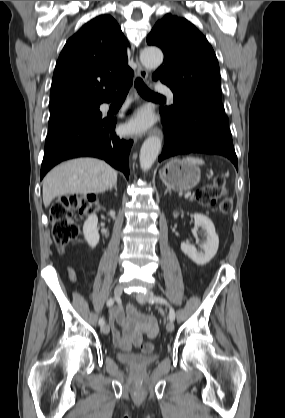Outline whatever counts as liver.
I'll return each mask as SVG.
<instances>
[{
	"mask_svg": "<svg viewBox=\"0 0 285 418\" xmlns=\"http://www.w3.org/2000/svg\"><path fill=\"white\" fill-rule=\"evenodd\" d=\"M117 183V171L95 158H78L52 169L43 179V203L66 194L102 193Z\"/></svg>",
	"mask_w": 285,
	"mask_h": 418,
	"instance_id": "liver-1",
	"label": "liver"
}]
</instances>
